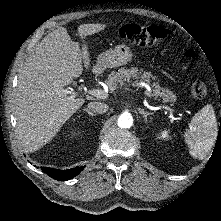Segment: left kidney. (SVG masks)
I'll list each match as a JSON object with an SVG mask.
<instances>
[{"mask_svg": "<svg viewBox=\"0 0 221 221\" xmlns=\"http://www.w3.org/2000/svg\"><path fill=\"white\" fill-rule=\"evenodd\" d=\"M161 138L162 139H168L169 138V132L167 130H164L161 132Z\"/></svg>", "mask_w": 221, "mask_h": 221, "instance_id": "obj_1", "label": "left kidney"}]
</instances>
